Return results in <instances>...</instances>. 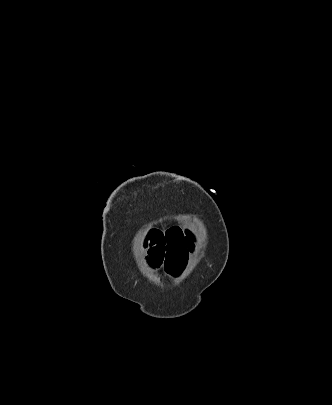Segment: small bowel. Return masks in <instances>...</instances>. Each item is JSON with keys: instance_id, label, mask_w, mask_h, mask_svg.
<instances>
[{"instance_id": "1", "label": "small bowel", "mask_w": 332, "mask_h": 405, "mask_svg": "<svg viewBox=\"0 0 332 405\" xmlns=\"http://www.w3.org/2000/svg\"><path fill=\"white\" fill-rule=\"evenodd\" d=\"M142 249L151 270L162 269L171 277L180 275L188 261L189 249L179 228L150 230L144 238Z\"/></svg>"}]
</instances>
